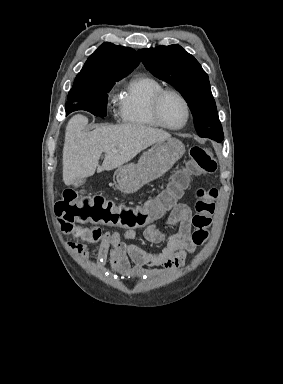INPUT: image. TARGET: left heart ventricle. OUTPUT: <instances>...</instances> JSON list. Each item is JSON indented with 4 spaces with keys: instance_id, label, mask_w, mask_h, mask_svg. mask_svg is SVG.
Listing matches in <instances>:
<instances>
[{
    "instance_id": "left-heart-ventricle-1",
    "label": "left heart ventricle",
    "mask_w": 283,
    "mask_h": 384,
    "mask_svg": "<svg viewBox=\"0 0 283 384\" xmlns=\"http://www.w3.org/2000/svg\"><path fill=\"white\" fill-rule=\"evenodd\" d=\"M160 115L163 122L170 127H177L184 123L186 112L181 100L174 95H167L162 101Z\"/></svg>"
}]
</instances>
